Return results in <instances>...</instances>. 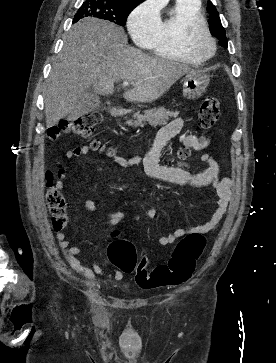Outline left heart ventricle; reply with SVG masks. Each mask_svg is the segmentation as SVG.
<instances>
[{
	"mask_svg": "<svg viewBox=\"0 0 276 363\" xmlns=\"http://www.w3.org/2000/svg\"><path fill=\"white\" fill-rule=\"evenodd\" d=\"M192 46L202 54H208L211 51V43L207 36L199 31L191 40Z\"/></svg>",
	"mask_w": 276,
	"mask_h": 363,
	"instance_id": "left-heart-ventricle-1",
	"label": "left heart ventricle"
}]
</instances>
